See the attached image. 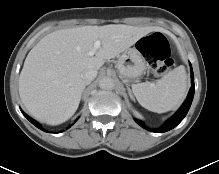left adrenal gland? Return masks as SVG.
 <instances>
[{"mask_svg": "<svg viewBox=\"0 0 219 174\" xmlns=\"http://www.w3.org/2000/svg\"><path fill=\"white\" fill-rule=\"evenodd\" d=\"M128 91H129V95H130V97H131V99H133L134 100V98H133V96H132V92H131V89L128 87Z\"/></svg>", "mask_w": 219, "mask_h": 174, "instance_id": "left-adrenal-gland-1", "label": "left adrenal gland"}]
</instances>
